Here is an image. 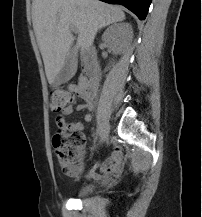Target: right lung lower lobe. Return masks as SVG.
Returning a JSON list of instances; mask_svg holds the SVG:
<instances>
[{"label": "right lung lower lobe", "mask_w": 202, "mask_h": 217, "mask_svg": "<svg viewBox=\"0 0 202 217\" xmlns=\"http://www.w3.org/2000/svg\"><path fill=\"white\" fill-rule=\"evenodd\" d=\"M110 4H121L132 11L140 20H144L152 0H101Z\"/></svg>", "instance_id": "obj_1"}]
</instances>
